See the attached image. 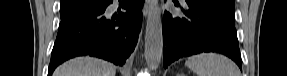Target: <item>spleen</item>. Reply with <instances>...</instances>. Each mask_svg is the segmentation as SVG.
Wrapping results in <instances>:
<instances>
[{
	"mask_svg": "<svg viewBox=\"0 0 287 76\" xmlns=\"http://www.w3.org/2000/svg\"><path fill=\"white\" fill-rule=\"evenodd\" d=\"M185 65L198 76H240L239 69L233 61L215 53L189 57Z\"/></svg>",
	"mask_w": 287,
	"mask_h": 76,
	"instance_id": "3e777b00",
	"label": "spleen"
}]
</instances>
